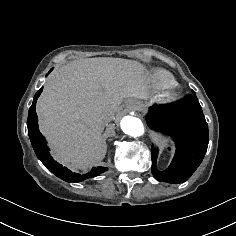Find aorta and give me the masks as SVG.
Here are the masks:
<instances>
[{
	"label": "aorta",
	"instance_id": "762f6f07",
	"mask_svg": "<svg viewBox=\"0 0 236 236\" xmlns=\"http://www.w3.org/2000/svg\"><path fill=\"white\" fill-rule=\"evenodd\" d=\"M122 131L132 137H139L144 134V125L142 121L134 116H124L120 122Z\"/></svg>",
	"mask_w": 236,
	"mask_h": 236
}]
</instances>
